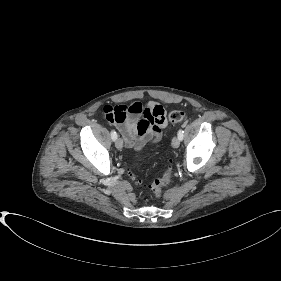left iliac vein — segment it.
Masks as SVG:
<instances>
[{"mask_svg": "<svg viewBox=\"0 0 281 281\" xmlns=\"http://www.w3.org/2000/svg\"><path fill=\"white\" fill-rule=\"evenodd\" d=\"M172 146L174 148H178L180 146V138L178 136H175L173 139H172Z\"/></svg>", "mask_w": 281, "mask_h": 281, "instance_id": "4c4485c4", "label": "left iliac vein"}]
</instances>
